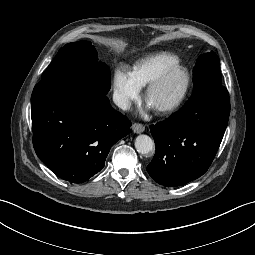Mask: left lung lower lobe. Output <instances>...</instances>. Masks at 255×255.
I'll list each match as a JSON object with an SVG mask.
<instances>
[{
  "mask_svg": "<svg viewBox=\"0 0 255 255\" xmlns=\"http://www.w3.org/2000/svg\"><path fill=\"white\" fill-rule=\"evenodd\" d=\"M229 114V94L221 82L201 83L179 112L150 126L156 152L147 166L149 175L170 187L202 176L219 148Z\"/></svg>",
  "mask_w": 255,
  "mask_h": 255,
  "instance_id": "1",
  "label": "left lung lower lobe"
}]
</instances>
